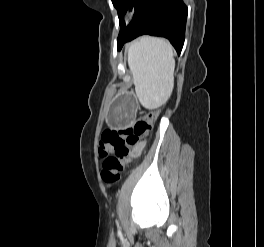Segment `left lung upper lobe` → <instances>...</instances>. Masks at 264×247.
<instances>
[{
	"instance_id": "obj_1",
	"label": "left lung upper lobe",
	"mask_w": 264,
	"mask_h": 247,
	"mask_svg": "<svg viewBox=\"0 0 264 247\" xmlns=\"http://www.w3.org/2000/svg\"><path fill=\"white\" fill-rule=\"evenodd\" d=\"M144 1L145 0H112V3L114 7L117 8L118 16L121 20V16L126 12L128 8L132 9L134 7L136 14L141 8ZM124 29H125V23L121 20V29L118 37H120Z\"/></svg>"
}]
</instances>
